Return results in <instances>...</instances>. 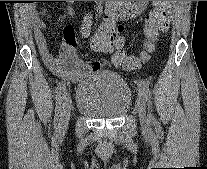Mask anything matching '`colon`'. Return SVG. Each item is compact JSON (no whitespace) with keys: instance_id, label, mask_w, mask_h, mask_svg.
Wrapping results in <instances>:
<instances>
[{"instance_id":"obj_1","label":"colon","mask_w":207,"mask_h":169,"mask_svg":"<svg viewBox=\"0 0 207 169\" xmlns=\"http://www.w3.org/2000/svg\"><path fill=\"white\" fill-rule=\"evenodd\" d=\"M172 4L173 1H153V8L149 11L145 20L146 41L139 57L127 55L121 44H115L114 32L101 27L91 40V48L99 53H110L116 49L112 58L116 66L127 69L138 67L153 51L154 45L160 36L167 31Z\"/></svg>"}]
</instances>
